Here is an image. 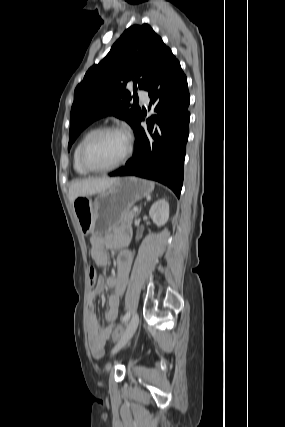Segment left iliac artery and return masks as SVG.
Segmentation results:
<instances>
[{"label":"left iliac artery","mask_w":285,"mask_h":427,"mask_svg":"<svg viewBox=\"0 0 285 427\" xmlns=\"http://www.w3.org/2000/svg\"><path fill=\"white\" fill-rule=\"evenodd\" d=\"M130 318V311H127L126 314L122 317V322L126 323Z\"/></svg>","instance_id":"obj_1"}]
</instances>
